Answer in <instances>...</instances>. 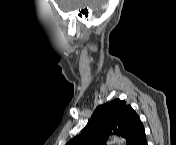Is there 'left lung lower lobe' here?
<instances>
[{"instance_id": "left-lung-lower-lobe-1", "label": "left lung lower lobe", "mask_w": 176, "mask_h": 145, "mask_svg": "<svg viewBox=\"0 0 176 145\" xmlns=\"http://www.w3.org/2000/svg\"><path fill=\"white\" fill-rule=\"evenodd\" d=\"M135 145H147L145 132L140 136Z\"/></svg>"}]
</instances>
